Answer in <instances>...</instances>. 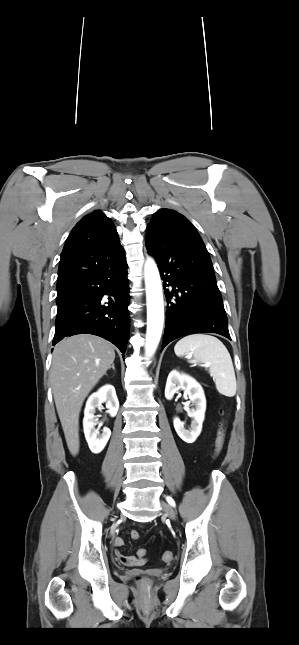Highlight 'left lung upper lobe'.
Segmentation results:
<instances>
[{"instance_id": "obj_1", "label": "left lung upper lobe", "mask_w": 299, "mask_h": 645, "mask_svg": "<svg viewBox=\"0 0 299 645\" xmlns=\"http://www.w3.org/2000/svg\"><path fill=\"white\" fill-rule=\"evenodd\" d=\"M171 227L189 229L197 232L195 227L182 214L171 209H160L154 213L146 231L168 230ZM198 233V232H197Z\"/></svg>"}]
</instances>
